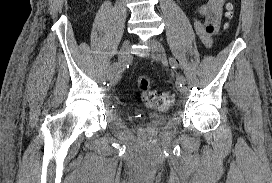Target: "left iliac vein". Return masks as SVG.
<instances>
[{
  "mask_svg": "<svg viewBox=\"0 0 272 183\" xmlns=\"http://www.w3.org/2000/svg\"><path fill=\"white\" fill-rule=\"evenodd\" d=\"M149 45L151 48L152 59H154L156 61H162L165 63L167 61V59H166L165 49H164L163 45L156 39H150ZM178 90L181 93H184L186 91L185 87H179V86H178Z\"/></svg>",
  "mask_w": 272,
  "mask_h": 183,
  "instance_id": "left-iliac-vein-1",
  "label": "left iliac vein"
}]
</instances>
